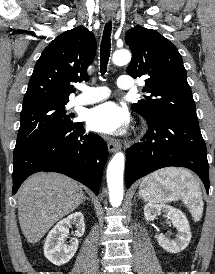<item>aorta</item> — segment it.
Instances as JSON below:
<instances>
[{
  "label": "aorta",
  "instance_id": "1",
  "mask_svg": "<svg viewBox=\"0 0 215 274\" xmlns=\"http://www.w3.org/2000/svg\"><path fill=\"white\" fill-rule=\"evenodd\" d=\"M131 60V54L126 49L114 52L112 61L115 65H125ZM125 158L122 152L116 153L109 162L107 169V184L109 189V200L113 207L121 205L123 200V172Z\"/></svg>",
  "mask_w": 215,
  "mask_h": 274
}]
</instances>
